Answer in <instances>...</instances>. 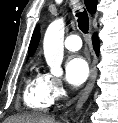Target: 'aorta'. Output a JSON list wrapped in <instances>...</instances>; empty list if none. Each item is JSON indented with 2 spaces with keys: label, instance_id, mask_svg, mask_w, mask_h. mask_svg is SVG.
Segmentation results:
<instances>
[{
  "label": "aorta",
  "instance_id": "aorta-1",
  "mask_svg": "<svg viewBox=\"0 0 118 123\" xmlns=\"http://www.w3.org/2000/svg\"><path fill=\"white\" fill-rule=\"evenodd\" d=\"M64 30L65 24L63 19H57L52 22L45 33L43 49L46 62L54 76H62L61 67L64 54Z\"/></svg>",
  "mask_w": 118,
  "mask_h": 123
}]
</instances>
